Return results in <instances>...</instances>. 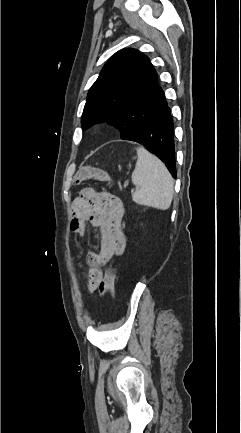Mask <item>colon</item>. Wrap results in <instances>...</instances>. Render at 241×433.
<instances>
[{
  "mask_svg": "<svg viewBox=\"0 0 241 433\" xmlns=\"http://www.w3.org/2000/svg\"><path fill=\"white\" fill-rule=\"evenodd\" d=\"M106 178L107 174L104 170L94 168H79L74 175L77 181H86L84 177ZM116 272L114 268H109L104 274L94 273L89 280V286L99 290L102 297L110 302L113 299L115 286Z\"/></svg>",
  "mask_w": 241,
  "mask_h": 433,
  "instance_id": "1",
  "label": "colon"
}]
</instances>
